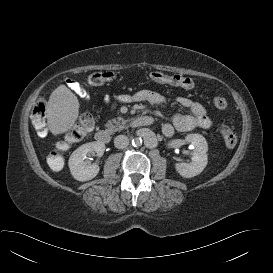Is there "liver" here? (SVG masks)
I'll use <instances>...</instances> for the list:
<instances>
[{
	"instance_id": "liver-1",
	"label": "liver",
	"mask_w": 273,
	"mask_h": 273,
	"mask_svg": "<svg viewBox=\"0 0 273 273\" xmlns=\"http://www.w3.org/2000/svg\"><path fill=\"white\" fill-rule=\"evenodd\" d=\"M79 107L77 97L65 85L56 88L49 97L46 109L51 133L58 135L70 130L78 118Z\"/></svg>"
}]
</instances>
